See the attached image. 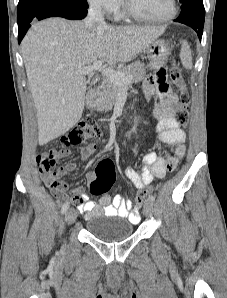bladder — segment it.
I'll list each match as a JSON object with an SVG mask.
<instances>
[{"label":"bladder","mask_w":227,"mask_h":298,"mask_svg":"<svg viewBox=\"0 0 227 298\" xmlns=\"http://www.w3.org/2000/svg\"><path fill=\"white\" fill-rule=\"evenodd\" d=\"M86 230L103 242H118L133 234L134 225L127 219L107 220L98 216L86 221Z\"/></svg>","instance_id":"31cf9c89"}]
</instances>
